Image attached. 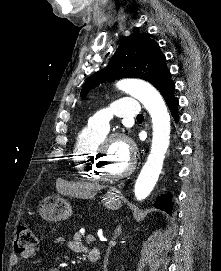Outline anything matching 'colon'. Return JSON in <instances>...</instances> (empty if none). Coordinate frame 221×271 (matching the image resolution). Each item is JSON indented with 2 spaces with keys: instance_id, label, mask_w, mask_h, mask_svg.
Listing matches in <instances>:
<instances>
[{
  "instance_id": "obj_1",
  "label": "colon",
  "mask_w": 221,
  "mask_h": 271,
  "mask_svg": "<svg viewBox=\"0 0 221 271\" xmlns=\"http://www.w3.org/2000/svg\"><path fill=\"white\" fill-rule=\"evenodd\" d=\"M37 242L36 235L30 228L29 224L22 222L19 224L15 237V251L20 253L30 247L35 246Z\"/></svg>"
}]
</instances>
